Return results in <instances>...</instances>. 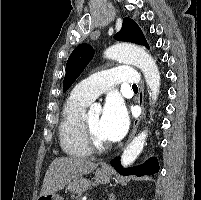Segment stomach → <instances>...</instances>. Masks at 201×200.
Wrapping results in <instances>:
<instances>
[{"mask_svg": "<svg viewBox=\"0 0 201 200\" xmlns=\"http://www.w3.org/2000/svg\"><path fill=\"white\" fill-rule=\"evenodd\" d=\"M111 173L107 169H98L95 172L94 180L97 184H106L110 182ZM92 182L83 177H76L73 181L69 182L67 189L74 194H81L85 192L90 186ZM38 200H63V198L57 193H51L48 195H43L38 198Z\"/></svg>", "mask_w": 201, "mask_h": 200, "instance_id": "1", "label": "stomach"}]
</instances>
